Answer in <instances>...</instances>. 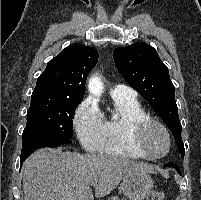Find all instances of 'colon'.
Wrapping results in <instances>:
<instances>
[{"instance_id": "5ec220e1", "label": "colon", "mask_w": 201, "mask_h": 200, "mask_svg": "<svg viewBox=\"0 0 201 200\" xmlns=\"http://www.w3.org/2000/svg\"><path fill=\"white\" fill-rule=\"evenodd\" d=\"M147 200H164V195L160 191H152Z\"/></svg>"}]
</instances>
